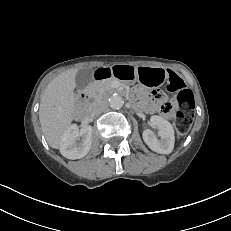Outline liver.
I'll return each instance as SVG.
<instances>
[{"mask_svg":"<svg viewBox=\"0 0 231 231\" xmlns=\"http://www.w3.org/2000/svg\"><path fill=\"white\" fill-rule=\"evenodd\" d=\"M77 68L69 69L55 77L41 95L39 120L47 143L59 148L65 131L76 116L74 89Z\"/></svg>","mask_w":231,"mask_h":231,"instance_id":"6515ba94","label":"liver"}]
</instances>
